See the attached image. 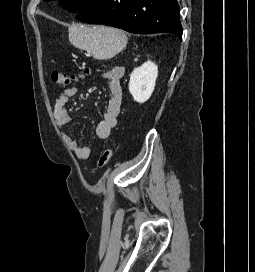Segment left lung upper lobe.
I'll use <instances>...</instances> for the list:
<instances>
[{"mask_svg": "<svg viewBox=\"0 0 255 272\" xmlns=\"http://www.w3.org/2000/svg\"><path fill=\"white\" fill-rule=\"evenodd\" d=\"M50 1V0H44ZM98 0H59L63 8L72 12H82L92 7Z\"/></svg>", "mask_w": 255, "mask_h": 272, "instance_id": "5c2ea615", "label": "left lung upper lobe"}]
</instances>
